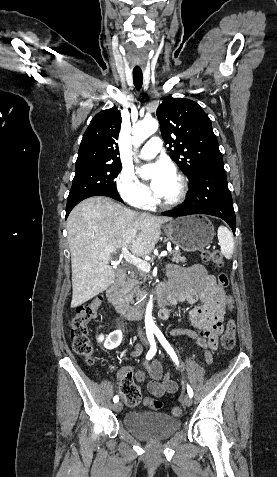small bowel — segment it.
<instances>
[{"mask_svg": "<svg viewBox=\"0 0 277 477\" xmlns=\"http://www.w3.org/2000/svg\"><path fill=\"white\" fill-rule=\"evenodd\" d=\"M167 273L170 278L168 290L175 295L176 299L188 304H194L197 301L201 305L194 307L190 312L191 329H175L172 334L187 335L200 349L203 350L208 363L212 362L210 350L215 349L218 344V338L224 331V305L228 295L218 279L206 272L202 265H193L191 267H181L178 265H169ZM167 312L161 314V318H166ZM142 346L136 344L131 352L132 357L140 355ZM145 369L150 377L147 389L155 398L162 397L165 393H175L178 390L177 383L171 378L169 373L163 372L162 366L158 360L145 363ZM123 382L132 381L133 372L129 367L122 370ZM138 382L146 379L144 371H137L134 374ZM148 398L143 400L144 405H148Z\"/></svg>", "mask_w": 277, "mask_h": 477, "instance_id": "1", "label": "small bowel"}]
</instances>
